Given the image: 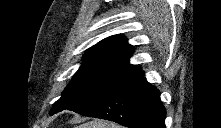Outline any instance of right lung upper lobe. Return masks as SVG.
I'll return each mask as SVG.
<instances>
[{
	"label": "right lung upper lobe",
	"mask_w": 221,
	"mask_h": 128,
	"mask_svg": "<svg viewBox=\"0 0 221 128\" xmlns=\"http://www.w3.org/2000/svg\"><path fill=\"white\" fill-rule=\"evenodd\" d=\"M133 52V46L127 43L124 36L113 35L101 40L85 52L79 70H96L128 78L141 70L140 67L129 63Z\"/></svg>",
	"instance_id": "obj_1"
}]
</instances>
